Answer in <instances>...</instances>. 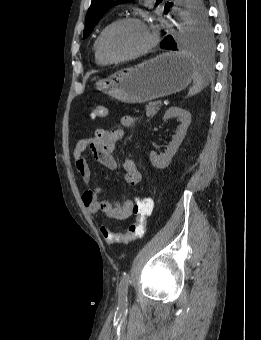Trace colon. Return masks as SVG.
Masks as SVG:
<instances>
[{
	"instance_id": "obj_1",
	"label": "colon",
	"mask_w": 261,
	"mask_h": 340,
	"mask_svg": "<svg viewBox=\"0 0 261 340\" xmlns=\"http://www.w3.org/2000/svg\"><path fill=\"white\" fill-rule=\"evenodd\" d=\"M108 114V109L104 106H95L92 108L91 117L101 118ZM153 203L150 198L138 197L134 204L132 211L135 214V220L130 224L128 229L124 232H113L106 227H101V234L105 241L109 244L115 243H129L137 239H141L146 233L147 218L151 214Z\"/></svg>"
}]
</instances>
